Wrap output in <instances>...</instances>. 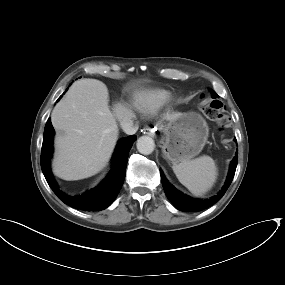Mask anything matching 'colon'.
Returning a JSON list of instances; mask_svg holds the SVG:
<instances>
[{
  "instance_id": "1",
  "label": "colon",
  "mask_w": 285,
  "mask_h": 285,
  "mask_svg": "<svg viewBox=\"0 0 285 285\" xmlns=\"http://www.w3.org/2000/svg\"><path fill=\"white\" fill-rule=\"evenodd\" d=\"M222 104L218 100L208 101L207 99L203 100V111L205 115L216 121L220 126H222L223 122V114L221 113Z\"/></svg>"
}]
</instances>
